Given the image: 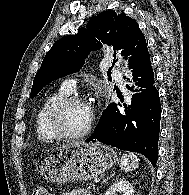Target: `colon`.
<instances>
[{
	"instance_id": "obj_1",
	"label": "colon",
	"mask_w": 189,
	"mask_h": 195,
	"mask_svg": "<svg viewBox=\"0 0 189 195\" xmlns=\"http://www.w3.org/2000/svg\"><path fill=\"white\" fill-rule=\"evenodd\" d=\"M33 195H48V192L43 188H36Z\"/></svg>"
}]
</instances>
